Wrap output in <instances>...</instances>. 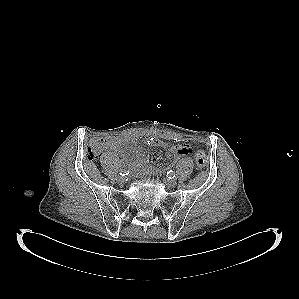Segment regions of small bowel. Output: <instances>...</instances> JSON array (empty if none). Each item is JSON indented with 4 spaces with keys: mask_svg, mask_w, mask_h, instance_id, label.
<instances>
[{
    "mask_svg": "<svg viewBox=\"0 0 299 299\" xmlns=\"http://www.w3.org/2000/svg\"><path fill=\"white\" fill-rule=\"evenodd\" d=\"M144 141L149 145H155L158 147L166 148V155L169 159H177L180 157L191 155L193 150L188 144H176L168 145L165 141L160 139L157 135L145 137ZM121 143L129 145L127 151L120 149ZM105 147L111 151H114L118 155L120 161H124L128 164L129 168L139 175H149L156 172V169L149 165L147 157L137 147L136 142L133 139H108Z\"/></svg>",
    "mask_w": 299,
    "mask_h": 299,
    "instance_id": "obj_1",
    "label": "small bowel"
}]
</instances>
